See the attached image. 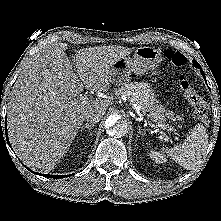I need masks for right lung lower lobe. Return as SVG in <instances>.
<instances>
[{
	"label": "right lung lower lobe",
	"instance_id": "98d812e1",
	"mask_svg": "<svg viewBox=\"0 0 221 221\" xmlns=\"http://www.w3.org/2000/svg\"><path fill=\"white\" fill-rule=\"evenodd\" d=\"M0 128H1V130H2L1 124H0ZM5 133H6V139H7V141H8L6 129H5ZM8 144H9V142H8ZM28 170H29V169H28ZM29 171H31V170H29ZM31 172H33V171H31ZM33 173L39 174V173H36V172H33ZM39 175H42V176L47 177V178H65V177H67V176H70V175H48V174H39Z\"/></svg>",
	"mask_w": 221,
	"mask_h": 221
}]
</instances>
